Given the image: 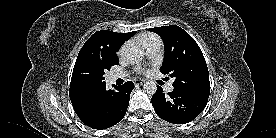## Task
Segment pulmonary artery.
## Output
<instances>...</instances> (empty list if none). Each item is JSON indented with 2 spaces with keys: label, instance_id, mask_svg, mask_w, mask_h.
Returning <instances> with one entry per match:
<instances>
[{
  "label": "pulmonary artery",
  "instance_id": "e3ab8cb5",
  "mask_svg": "<svg viewBox=\"0 0 276 138\" xmlns=\"http://www.w3.org/2000/svg\"><path fill=\"white\" fill-rule=\"evenodd\" d=\"M160 48H161V43H159V42L152 43V44L148 45L145 48L147 56L150 58L155 57L158 54V52L160 51ZM125 76L126 75L122 74V73H113L110 78H111V80L114 81L119 78H124ZM173 89H174V87H173L172 82L168 83L165 87V90L167 92H171V91H173Z\"/></svg>",
  "mask_w": 276,
  "mask_h": 138
}]
</instances>
